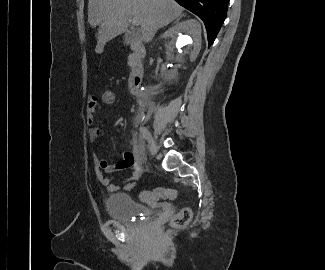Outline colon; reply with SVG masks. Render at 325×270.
I'll use <instances>...</instances> for the list:
<instances>
[{
	"label": "colon",
	"instance_id": "5ec220e1",
	"mask_svg": "<svg viewBox=\"0 0 325 270\" xmlns=\"http://www.w3.org/2000/svg\"><path fill=\"white\" fill-rule=\"evenodd\" d=\"M101 101L104 105H113L116 101V94L111 89H106L101 94ZM176 196V191L172 188L157 187L152 190L143 191L141 199L147 203H155L160 199L172 200ZM192 211L188 207L182 208L171 220L170 224L174 228H180L189 223Z\"/></svg>",
	"mask_w": 325,
	"mask_h": 270
}]
</instances>
